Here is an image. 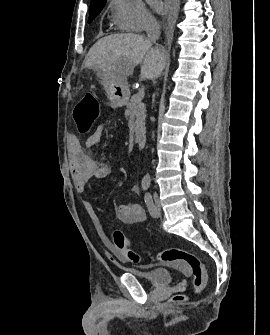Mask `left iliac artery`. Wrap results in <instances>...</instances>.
Wrapping results in <instances>:
<instances>
[{"label":"left iliac artery","instance_id":"left-iliac-artery-1","mask_svg":"<svg viewBox=\"0 0 270 335\" xmlns=\"http://www.w3.org/2000/svg\"><path fill=\"white\" fill-rule=\"evenodd\" d=\"M145 203L147 205L149 213L153 216L156 212L155 205L152 200V196L150 193H146L144 196Z\"/></svg>","mask_w":270,"mask_h":335}]
</instances>
